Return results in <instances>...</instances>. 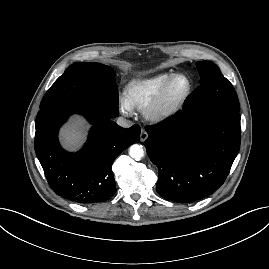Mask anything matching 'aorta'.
Listing matches in <instances>:
<instances>
[{
    "instance_id": "762f6f07",
    "label": "aorta",
    "mask_w": 269,
    "mask_h": 269,
    "mask_svg": "<svg viewBox=\"0 0 269 269\" xmlns=\"http://www.w3.org/2000/svg\"><path fill=\"white\" fill-rule=\"evenodd\" d=\"M129 155L134 160L139 161L144 155V150L141 145L133 144L129 148Z\"/></svg>"
}]
</instances>
